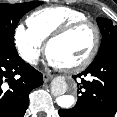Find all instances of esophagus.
I'll list each match as a JSON object with an SVG mask.
<instances>
[{"label": "esophagus", "mask_w": 117, "mask_h": 117, "mask_svg": "<svg viewBox=\"0 0 117 117\" xmlns=\"http://www.w3.org/2000/svg\"><path fill=\"white\" fill-rule=\"evenodd\" d=\"M52 77H53L52 75L44 73L43 74V81L45 83H47L48 81H50L52 79Z\"/></svg>", "instance_id": "34e87169"}]
</instances>
